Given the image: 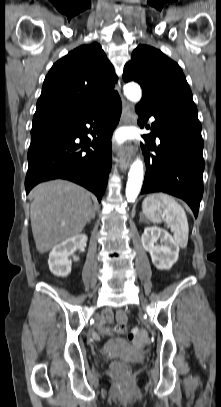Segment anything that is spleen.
Wrapping results in <instances>:
<instances>
[{
	"label": "spleen",
	"instance_id": "3e777b00",
	"mask_svg": "<svg viewBox=\"0 0 221 407\" xmlns=\"http://www.w3.org/2000/svg\"><path fill=\"white\" fill-rule=\"evenodd\" d=\"M143 214L152 222L164 221L173 231L177 244L187 246L189 226L182 206L170 195L154 193L146 196L142 203Z\"/></svg>",
	"mask_w": 221,
	"mask_h": 407
}]
</instances>
